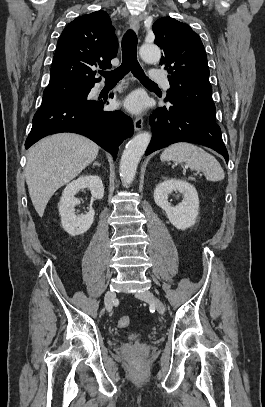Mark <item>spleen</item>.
Masks as SVG:
<instances>
[{"label":"spleen","mask_w":265,"mask_h":407,"mask_svg":"<svg viewBox=\"0 0 265 407\" xmlns=\"http://www.w3.org/2000/svg\"><path fill=\"white\" fill-rule=\"evenodd\" d=\"M161 161L185 163L191 170L202 171L209 181H221L225 173L220 163L210 153L191 143L179 142L167 147L160 156Z\"/></svg>","instance_id":"1"}]
</instances>
